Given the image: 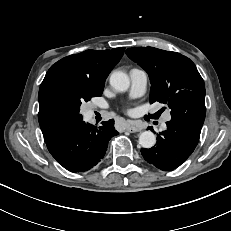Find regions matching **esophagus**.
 <instances>
[{
    "label": "esophagus",
    "mask_w": 231,
    "mask_h": 231,
    "mask_svg": "<svg viewBox=\"0 0 231 231\" xmlns=\"http://www.w3.org/2000/svg\"><path fill=\"white\" fill-rule=\"evenodd\" d=\"M141 129L135 125H128L126 127V131L130 132V133H134V132H139Z\"/></svg>",
    "instance_id": "esophagus-1"
}]
</instances>
